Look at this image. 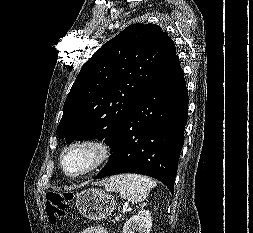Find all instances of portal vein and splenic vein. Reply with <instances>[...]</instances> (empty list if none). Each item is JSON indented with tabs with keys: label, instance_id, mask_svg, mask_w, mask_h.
Instances as JSON below:
<instances>
[{
	"label": "portal vein and splenic vein",
	"instance_id": "obj_1",
	"mask_svg": "<svg viewBox=\"0 0 253 233\" xmlns=\"http://www.w3.org/2000/svg\"><path fill=\"white\" fill-rule=\"evenodd\" d=\"M127 211V205L124 206V209H123V212ZM120 217H116L115 218V221H119ZM114 221V222H115Z\"/></svg>",
	"mask_w": 253,
	"mask_h": 233
}]
</instances>
